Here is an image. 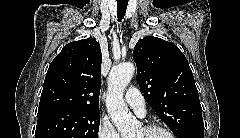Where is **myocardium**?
Wrapping results in <instances>:
<instances>
[{
    "instance_id": "f54148a6",
    "label": "myocardium",
    "mask_w": 240,
    "mask_h": 138,
    "mask_svg": "<svg viewBox=\"0 0 240 138\" xmlns=\"http://www.w3.org/2000/svg\"><path fill=\"white\" fill-rule=\"evenodd\" d=\"M143 130L146 132L160 131L165 133L167 138H173L172 132L159 124H155V123L146 124L145 126H143Z\"/></svg>"
}]
</instances>
